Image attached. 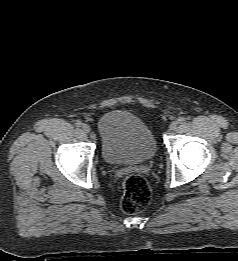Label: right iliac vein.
Instances as JSON below:
<instances>
[{
  "instance_id": "obj_1",
  "label": "right iliac vein",
  "mask_w": 238,
  "mask_h": 261,
  "mask_svg": "<svg viewBox=\"0 0 238 261\" xmlns=\"http://www.w3.org/2000/svg\"><path fill=\"white\" fill-rule=\"evenodd\" d=\"M82 130H83L84 133H89L91 131V128H90L89 125L83 124L82 125Z\"/></svg>"
}]
</instances>
